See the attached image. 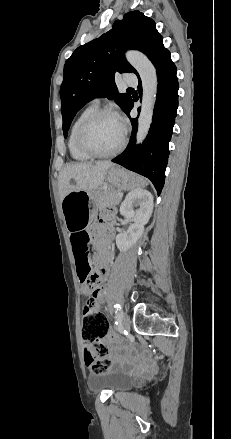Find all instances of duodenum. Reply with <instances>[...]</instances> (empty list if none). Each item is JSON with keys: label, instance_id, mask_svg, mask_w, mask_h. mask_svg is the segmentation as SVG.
Returning <instances> with one entry per match:
<instances>
[{"label": "duodenum", "instance_id": "duodenum-1", "mask_svg": "<svg viewBox=\"0 0 231 439\" xmlns=\"http://www.w3.org/2000/svg\"><path fill=\"white\" fill-rule=\"evenodd\" d=\"M107 268V265L101 260V263L99 264L98 271L99 273H103Z\"/></svg>", "mask_w": 231, "mask_h": 439}]
</instances>
